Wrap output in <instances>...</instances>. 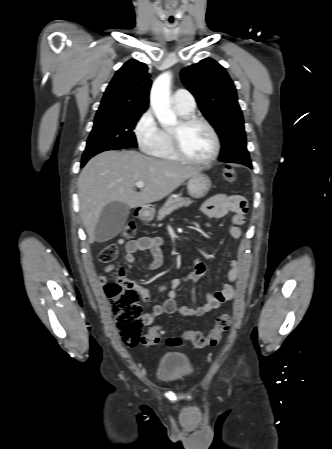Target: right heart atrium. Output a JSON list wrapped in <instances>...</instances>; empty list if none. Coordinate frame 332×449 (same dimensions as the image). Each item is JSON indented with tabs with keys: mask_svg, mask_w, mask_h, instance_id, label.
<instances>
[{
	"mask_svg": "<svg viewBox=\"0 0 332 449\" xmlns=\"http://www.w3.org/2000/svg\"><path fill=\"white\" fill-rule=\"evenodd\" d=\"M134 132L139 147L143 152L151 154L157 148L161 141L162 130L151 109L146 110L139 117Z\"/></svg>",
	"mask_w": 332,
	"mask_h": 449,
	"instance_id": "1",
	"label": "right heart atrium"
}]
</instances>
